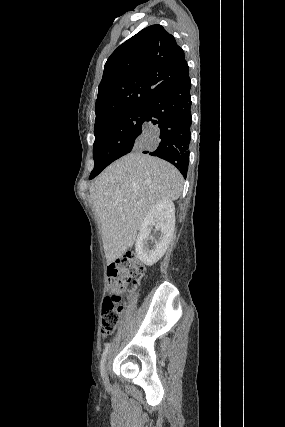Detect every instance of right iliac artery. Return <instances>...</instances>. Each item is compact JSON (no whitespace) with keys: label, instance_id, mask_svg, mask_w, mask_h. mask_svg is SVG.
I'll use <instances>...</instances> for the list:
<instances>
[{"label":"right iliac artery","instance_id":"obj_1","mask_svg":"<svg viewBox=\"0 0 285 427\" xmlns=\"http://www.w3.org/2000/svg\"><path fill=\"white\" fill-rule=\"evenodd\" d=\"M109 348H110V344H107L101 357L100 372L102 377H104V374H105V361H106Z\"/></svg>","mask_w":285,"mask_h":427}]
</instances>
